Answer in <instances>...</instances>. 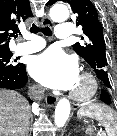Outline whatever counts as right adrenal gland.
<instances>
[{"mask_svg":"<svg viewBox=\"0 0 117 136\" xmlns=\"http://www.w3.org/2000/svg\"><path fill=\"white\" fill-rule=\"evenodd\" d=\"M28 132H29V129H27L26 133H25V136H28Z\"/></svg>","mask_w":117,"mask_h":136,"instance_id":"obj_1","label":"right adrenal gland"}]
</instances>
